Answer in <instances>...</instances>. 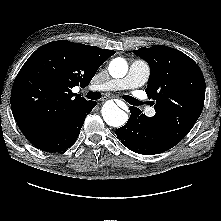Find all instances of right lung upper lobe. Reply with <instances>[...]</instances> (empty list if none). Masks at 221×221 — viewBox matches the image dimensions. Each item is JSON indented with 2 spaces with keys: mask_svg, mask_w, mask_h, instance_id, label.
Instances as JSON below:
<instances>
[{
  "mask_svg": "<svg viewBox=\"0 0 221 221\" xmlns=\"http://www.w3.org/2000/svg\"><path fill=\"white\" fill-rule=\"evenodd\" d=\"M115 53L63 40L37 49L22 66L11 92L12 113L24 136L31 141L86 105L89 101L75 96L71 88L87 86Z\"/></svg>",
  "mask_w": 221,
  "mask_h": 221,
  "instance_id": "cb5924a9",
  "label": "right lung upper lobe"
}]
</instances>
